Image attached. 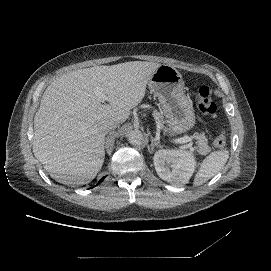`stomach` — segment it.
Masks as SVG:
<instances>
[{"label": "stomach", "mask_w": 271, "mask_h": 271, "mask_svg": "<svg viewBox=\"0 0 271 271\" xmlns=\"http://www.w3.org/2000/svg\"><path fill=\"white\" fill-rule=\"evenodd\" d=\"M148 87L159 99L164 114L169 119V135L180 134L195 125L192 102L184 93L181 73L173 66L161 65L148 81Z\"/></svg>", "instance_id": "obj_1"}]
</instances>
